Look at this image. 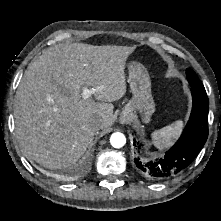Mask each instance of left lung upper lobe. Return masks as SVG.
Listing matches in <instances>:
<instances>
[{
  "mask_svg": "<svg viewBox=\"0 0 221 221\" xmlns=\"http://www.w3.org/2000/svg\"><path fill=\"white\" fill-rule=\"evenodd\" d=\"M186 76L191 87H194L200 90H205L202 82L199 80L198 76L192 69L188 68L186 70Z\"/></svg>",
  "mask_w": 221,
  "mask_h": 221,
  "instance_id": "5c2ea615",
  "label": "left lung upper lobe"
}]
</instances>
